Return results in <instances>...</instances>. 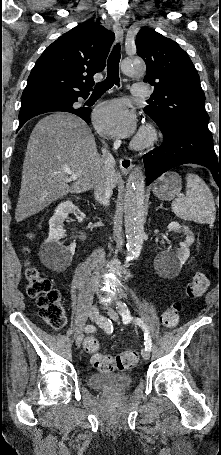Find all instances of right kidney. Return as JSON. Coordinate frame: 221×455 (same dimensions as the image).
I'll list each match as a JSON object with an SVG mask.
<instances>
[{"label": "right kidney", "instance_id": "right-kidney-1", "mask_svg": "<svg viewBox=\"0 0 221 455\" xmlns=\"http://www.w3.org/2000/svg\"><path fill=\"white\" fill-rule=\"evenodd\" d=\"M71 213L76 216L78 221L85 218V214L73 202L64 201L57 206L49 220V236L44 241L39 254L43 264L50 269L64 270L72 261L76 244L71 243L66 247L60 243V239L64 235L63 222Z\"/></svg>", "mask_w": 221, "mask_h": 455}]
</instances>
